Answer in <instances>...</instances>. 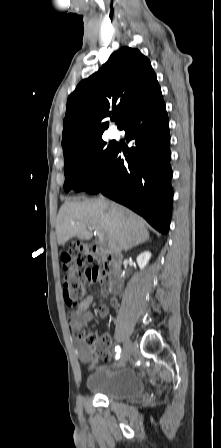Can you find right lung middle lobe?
<instances>
[{
	"instance_id": "right-lung-middle-lobe-1",
	"label": "right lung middle lobe",
	"mask_w": 221,
	"mask_h": 448,
	"mask_svg": "<svg viewBox=\"0 0 221 448\" xmlns=\"http://www.w3.org/2000/svg\"><path fill=\"white\" fill-rule=\"evenodd\" d=\"M116 145L107 146L102 138L86 145L78 153L65 158L64 190H85L104 171L111 159Z\"/></svg>"
}]
</instances>
